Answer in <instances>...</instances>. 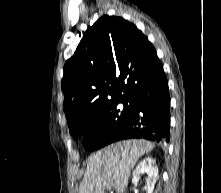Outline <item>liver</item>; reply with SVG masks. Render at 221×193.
Segmentation results:
<instances>
[{
  "label": "liver",
  "instance_id": "liver-1",
  "mask_svg": "<svg viewBox=\"0 0 221 193\" xmlns=\"http://www.w3.org/2000/svg\"><path fill=\"white\" fill-rule=\"evenodd\" d=\"M154 147L145 140H125L97 151L88 160L79 193H105L111 188L124 193L131 170Z\"/></svg>",
  "mask_w": 221,
  "mask_h": 193
}]
</instances>
